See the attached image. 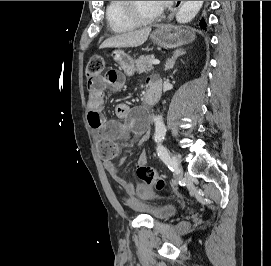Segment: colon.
I'll return each mask as SVG.
<instances>
[{"label": "colon", "mask_w": 271, "mask_h": 266, "mask_svg": "<svg viewBox=\"0 0 271 266\" xmlns=\"http://www.w3.org/2000/svg\"><path fill=\"white\" fill-rule=\"evenodd\" d=\"M104 69V60L100 56H92L86 67V75L88 77L99 75ZM138 178L147 185H154L158 190L164 188L165 183L159 176L158 172L148 165L139 164L136 168Z\"/></svg>", "instance_id": "5ec220e1"}]
</instances>
